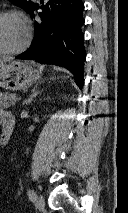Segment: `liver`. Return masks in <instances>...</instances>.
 <instances>
[{
	"instance_id": "6515ba94",
	"label": "liver",
	"mask_w": 128,
	"mask_h": 213,
	"mask_svg": "<svg viewBox=\"0 0 128 213\" xmlns=\"http://www.w3.org/2000/svg\"><path fill=\"white\" fill-rule=\"evenodd\" d=\"M6 61H4V60H0V64H3V63H5Z\"/></svg>"
}]
</instances>
